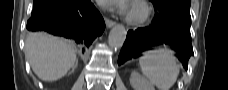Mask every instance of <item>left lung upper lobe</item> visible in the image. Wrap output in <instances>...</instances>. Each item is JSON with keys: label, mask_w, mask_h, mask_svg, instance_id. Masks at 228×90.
Masks as SVG:
<instances>
[{"label": "left lung upper lobe", "mask_w": 228, "mask_h": 90, "mask_svg": "<svg viewBox=\"0 0 228 90\" xmlns=\"http://www.w3.org/2000/svg\"><path fill=\"white\" fill-rule=\"evenodd\" d=\"M156 10L180 15V12H190L191 0H150Z\"/></svg>", "instance_id": "1"}]
</instances>
